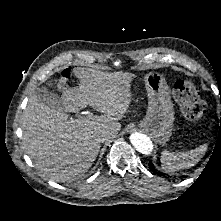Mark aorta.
I'll return each instance as SVG.
<instances>
[{"label": "aorta", "instance_id": "aorta-1", "mask_svg": "<svg viewBox=\"0 0 221 221\" xmlns=\"http://www.w3.org/2000/svg\"><path fill=\"white\" fill-rule=\"evenodd\" d=\"M130 142L134 148L142 154H150L153 150V144L150 138L142 133H132L130 135Z\"/></svg>", "mask_w": 221, "mask_h": 221}]
</instances>
